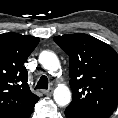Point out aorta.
Listing matches in <instances>:
<instances>
[{"label":"aorta","mask_w":118,"mask_h":118,"mask_svg":"<svg viewBox=\"0 0 118 118\" xmlns=\"http://www.w3.org/2000/svg\"><path fill=\"white\" fill-rule=\"evenodd\" d=\"M39 62L50 74H54L60 69V61L57 55L53 52H41ZM53 97L58 106H67L71 102L70 89L64 84H59L54 90Z\"/></svg>","instance_id":"aorta-1"}]
</instances>
